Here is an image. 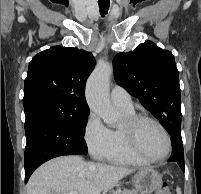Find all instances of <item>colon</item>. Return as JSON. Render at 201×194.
I'll use <instances>...</instances> for the list:
<instances>
[{
	"label": "colon",
	"instance_id": "5ec220e1",
	"mask_svg": "<svg viewBox=\"0 0 201 194\" xmlns=\"http://www.w3.org/2000/svg\"><path fill=\"white\" fill-rule=\"evenodd\" d=\"M156 194H172L168 184L163 183L159 186L156 191Z\"/></svg>",
	"mask_w": 201,
	"mask_h": 194
}]
</instances>
